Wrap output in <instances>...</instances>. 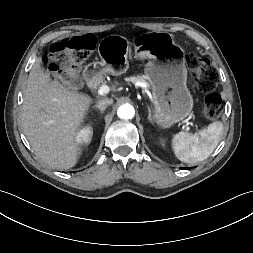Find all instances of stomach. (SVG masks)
<instances>
[{"instance_id": "1", "label": "stomach", "mask_w": 253, "mask_h": 253, "mask_svg": "<svg viewBox=\"0 0 253 253\" xmlns=\"http://www.w3.org/2000/svg\"><path fill=\"white\" fill-rule=\"evenodd\" d=\"M157 39L138 38L134 42L136 55H163L150 61L145 67V76L150 82L156 108L155 121L163 128L185 119L192 111L193 98L187 88V68L182 60L183 51L168 34ZM131 42L121 35L106 36L98 44L100 61L93 62L88 69L93 76L104 74L121 75L129 68L128 55Z\"/></svg>"}]
</instances>
